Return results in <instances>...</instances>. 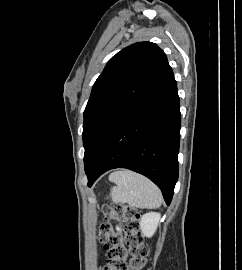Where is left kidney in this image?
<instances>
[{
    "mask_svg": "<svg viewBox=\"0 0 242 270\" xmlns=\"http://www.w3.org/2000/svg\"><path fill=\"white\" fill-rule=\"evenodd\" d=\"M160 217V214L156 212H149L141 217L139 224L144 236L152 237L154 235L160 221Z\"/></svg>",
    "mask_w": 242,
    "mask_h": 270,
    "instance_id": "5707ae66",
    "label": "left kidney"
}]
</instances>
